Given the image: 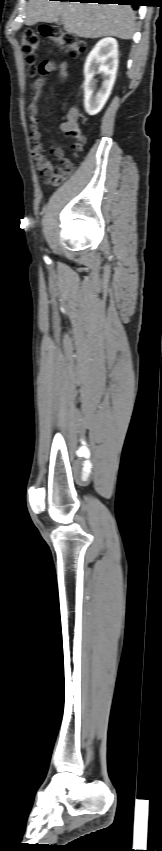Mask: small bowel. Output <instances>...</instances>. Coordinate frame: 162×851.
I'll use <instances>...</instances> for the list:
<instances>
[{
    "label": "small bowel",
    "instance_id": "1",
    "mask_svg": "<svg viewBox=\"0 0 162 851\" xmlns=\"http://www.w3.org/2000/svg\"><path fill=\"white\" fill-rule=\"evenodd\" d=\"M71 68L65 63L56 64L55 62L48 61L43 62L40 65L39 77L34 81L33 90L31 92V101L29 104V116L31 121V143H32V156L35 160L36 169L42 172L43 177L49 183L52 182V177L54 173L58 170L55 166L49 161L44 153L43 142L41 140V133L39 131L38 124V113H39V102L43 93V90L47 84V76L51 73H59L62 77H66ZM63 130V126H61ZM52 154L59 160H62L65 164V167L71 168L70 162L65 158L64 151L62 148L58 146L51 147Z\"/></svg>",
    "mask_w": 162,
    "mask_h": 851
}]
</instances>
